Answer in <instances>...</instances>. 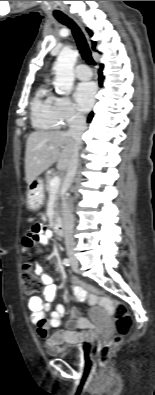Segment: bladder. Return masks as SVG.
<instances>
[{"label": "bladder", "mask_w": 155, "mask_h": 395, "mask_svg": "<svg viewBox=\"0 0 155 395\" xmlns=\"http://www.w3.org/2000/svg\"><path fill=\"white\" fill-rule=\"evenodd\" d=\"M54 354L72 362H79L83 356V351L75 345L62 344L54 350Z\"/></svg>", "instance_id": "obj_1"}]
</instances>
